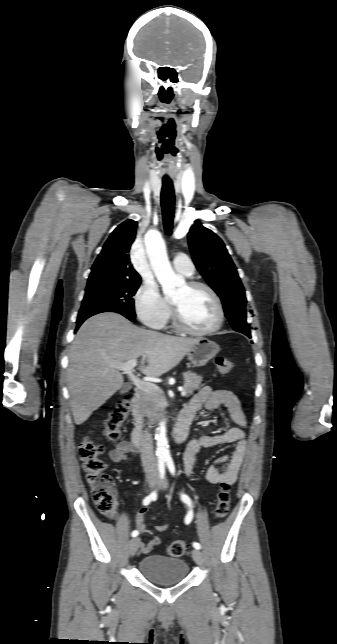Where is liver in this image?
Here are the masks:
<instances>
[{
    "label": "liver",
    "mask_w": 337,
    "mask_h": 644,
    "mask_svg": "<svg viewBox=\"0 0 337 644\" xmlns=\"http://www.w3.org/2000/svg\"><path fill=\"white\" fill-rule=\"evenodd\" d=\"M198 338H179L138 328L117 313L87 319L69 351L67 382L76 425L84 423L123 385L114 362L143 356V374L159 377L177 366Z\"/></svg>",
    "instance_id": "1"
}]
</instances>
